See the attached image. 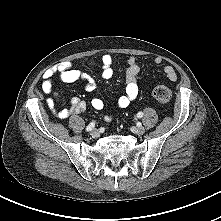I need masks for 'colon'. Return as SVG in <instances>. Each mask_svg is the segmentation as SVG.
Masks as SVG:
<instances>
[{
	"label": "colon",
	"mask_w": 221,
	"mask_h": 221,
	"mask_svg": "<svg viewBox=\"0 0 221 221\" xmlns=\"http://www.w3.org/2000/svg\"><path fill=\"white\" fill-rule=\"evenodd\" d=\"M152 96L160 103H168L171 99V90L164 85L156 86L152 91Z\"/></svg>",
	"instance_id": "obj_1"
}]
</instances>
